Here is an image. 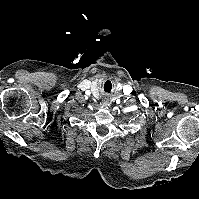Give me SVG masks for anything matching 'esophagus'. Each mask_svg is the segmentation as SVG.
I'll list each match as a JSON object with an SVG mask.
<instances>
[{
    "label": "esophagus",
    "instance_id": "obj_1",
    "mask_svg": "<svg viewBox=\"0 0 199 199\" xmlns=\"http://www.w3.org/2000/svg\"><path fill=\"white\" fill-rule=\"evenodd\" d=\"M103 105H104V106H109V105H110V101H109L108 98H105V99L103 100Z\"/></svg>",
    "mask_w": 199,
    "mask_h": 199
}]
</instances>
